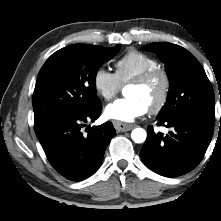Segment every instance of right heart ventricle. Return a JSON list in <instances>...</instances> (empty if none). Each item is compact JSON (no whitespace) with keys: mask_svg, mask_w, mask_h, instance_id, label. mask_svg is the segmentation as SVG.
Here are the masks:
<instances>
[{"mask_svg":"<svg viewBox=\"0 0 221 221\" xmlns=\"http://www.w3.org/2000/svg\"><path fill=\"white\" fill-rule=\"evenodd\" d=\"M158 67L160 63L155 57L132 49L115 62V75L120 84L125 85L143 72Z\"/></svg>","mask_w":221,"mask_h":221,"instance_id":"1","label":"right heart ventricle"}]
</instances>
